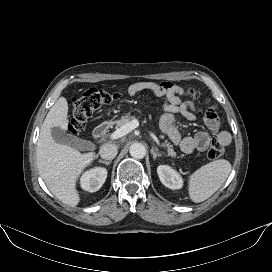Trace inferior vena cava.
I'll use <instances>...</instances> for the list:
<instances>
[{
    "instance_id": "inferior-vena-cava-1",
    "label": "inferior vena cava",
    "mask_w": 272,
    "mask_h": 272,
    "mask_svg": "<svg viewBox=\"0 0 272 272\" xmlns=\"http://www.w3.org/2000/svg\"><path fill=\"white\" fill-rule=\"evenodd\" d=\"M117 153H118L117 146L112 143L103 144L99 150V154L101 158L106 160H111L115 158Z\"/></svg>"
}]
</instances>
